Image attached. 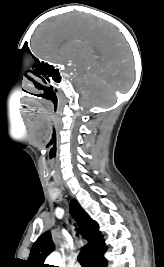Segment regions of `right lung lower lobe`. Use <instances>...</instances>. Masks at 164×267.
<instances>
[{"label":"right lung lower lobe","instance_id":"98d812e1","mask_svg":"<svg viewBox=\"0 0 164 267\" xmlns=\"http://www.w3.org/2000/svg\"><path fill=\"white\" fill-rule=\"evenodd\" d=\"M105 251L106 250L99 252V253L95 254L94 256L90 257L88 259L89 267H106L107 261L103 256Z\"/></svg>","mask_w":164,"mask_h":267}]
</instances>
